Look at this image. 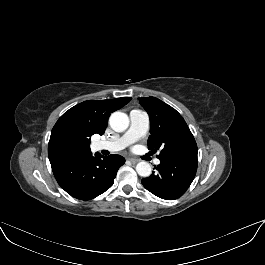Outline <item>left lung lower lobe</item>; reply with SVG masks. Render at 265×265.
I'll return each instance as SVG.
<instances>
[{"mask_svg": "<svg viewBox=\"0 0 265 265\" xmlns=\"http://www.w3.org/2000/svg\"><path fill=\"white\" fill-rule=\"evenodd\" d=\"M154 166L157 172L142 179L143 186L154 195L174 200L181 197L192 183L197 171V156L161 158Z\"/></svg>", "mask_w": 265, "mask_h": 265, "instance_id": "0a47b994", "label": "left lung lower lobe"}]
</instances>
